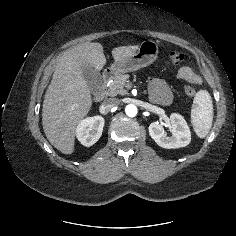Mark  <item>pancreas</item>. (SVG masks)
Returning <instances> with one entry per match:
<instances>
[{"instance_id": "obj_1", "label": "pancreas", "mask_w": 236, "mask_h": 236, "mask_svg": "<svg viewBox=\"0 0 236 236\" xmlns=\"http://www.w3.org/2000/svg\"><path fill=\"white\" fill-rule=\"evenodd\" d=\"M129 75H118L112 83L109 84L108 95L117 96L127 94V88L131 86L129 83Z\"/></svg>"}]
</instances>
